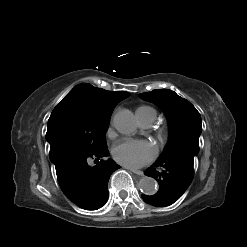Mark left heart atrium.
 Masks as SVG:
<instances>
[{
	"mask_svg": "<svg viewBox=\"0 0 247 247\" xmlns=\"http://www.w3.org/2000/svg\"><path fill=\"white\" fill-rule=\"evenodd\" d=\"M112 155L118 163L138 168L153 160L156 149L147 141L123 139L114 145Z\"/></svg>",
	"mask_w": 247,
	"mask_h": 247,
	"instance_id": "obj_1",
	"label": "left heart atrium"
}]
</instances>
